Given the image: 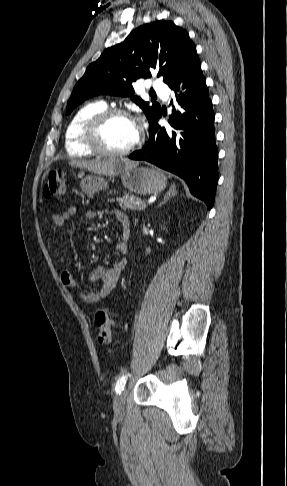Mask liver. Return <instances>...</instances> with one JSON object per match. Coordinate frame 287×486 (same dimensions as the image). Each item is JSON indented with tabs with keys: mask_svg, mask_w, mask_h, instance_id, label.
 <instances>
[{
	"mask_svg": "<svg viewBox=\"0 0 287 486\" xmlns=\"http://www.w3.org/2000/svg\"><path fill=\"white\" fill-rule=\"evenodd\" d=\"M139 162L131 161L127 158L98 160H71L69 165L82 168L98 175L115 176L124 170L138 166Z\"/></svg>",
	"mask_w": 287,
	"mask_h": 486,
	"instance_id": "obj_1",
	"label": "liver"
}]
</instances>
